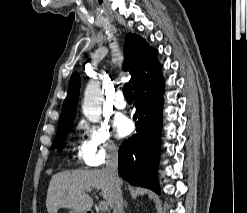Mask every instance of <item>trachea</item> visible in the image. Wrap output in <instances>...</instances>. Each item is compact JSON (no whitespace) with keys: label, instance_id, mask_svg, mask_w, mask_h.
Instances as JSON below:
<instances>
[{"label":"trachea","instance_id":"trachea-1","mask_svg":"<svg viewBox=\"0 0 247 213\" xmlns=\"http://www.w3.org/2000/svg\"><path fill=\"white\" fill-rule=\"evenodd\" d=\"M123 94L126 99H133L132 87L130 83L123 86Z\"/></svg>","mask_w":247,"mask_h":213}]
</instances>
